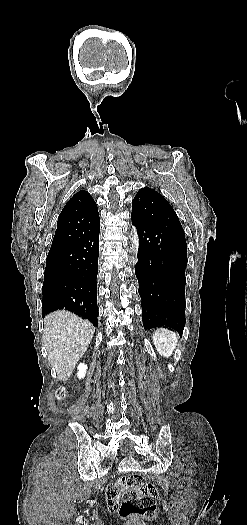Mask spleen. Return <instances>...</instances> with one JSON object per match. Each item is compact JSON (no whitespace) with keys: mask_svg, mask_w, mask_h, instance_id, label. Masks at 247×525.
I'll use <instances>...</instances> for the list:
<instances>
[{"mask_svg":"<svg viewBox=\"0 0 247 525\" xmlns=\"http://www.w3.org/2000/svg\"><path fill=\"white\" fill-rule=\"evenodd\" d=\"M177 333L167 331V329H157L153 335V343L161 357H172L178 343Z\"/></svg>","mask_w":247,"mask_h":525,"instance_id":"1","label":"spleen"}]
</instances>
